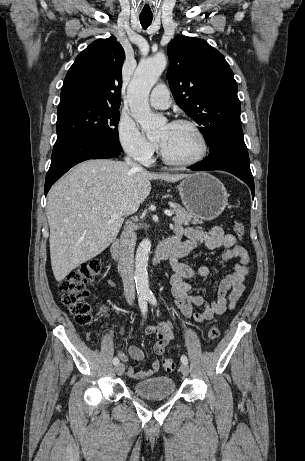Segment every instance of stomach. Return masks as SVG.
I'll return each instance as SVG.
<instances>
[{
	"label": "stomach",
	"mask_w": 305,
	"mask_h": 461,
	"mask_svg": "<svg viewBox=\"0 0 305 461\" xmlns=\"http://www.w3.org/2000/svg\"><path fill=\"white\" fill-rule=\"evenodd\" d=\"M178 190L185 208L203 220L215 219L228 204L226 188L207 172L188 175L178 185Z\"/></svg>",
	"instance_id": "obj_1"
}]
</instances>
